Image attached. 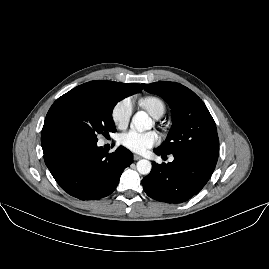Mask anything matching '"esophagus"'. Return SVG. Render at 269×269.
Instances as JSON below:
<instances>
[{"label":"esophagus","instance_id":"1","mask_svg":"<svg viewBox=\"0 0 269 269\" xmlns=\"http://www.w3.org/2000/svg\"><path fill=\"white\" fill-rule=\"evenodd\" d=\"M142 159V156L138 155V154H134V160L137 161V160H140Z\"/></svg>","mask_w":269,"mask_h":269}]
</instances>
